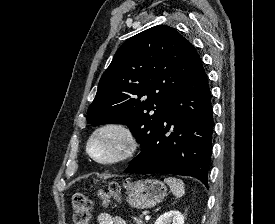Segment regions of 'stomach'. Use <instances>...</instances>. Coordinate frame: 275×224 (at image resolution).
Here are the masks:
<instances>
[{
  "instance_id": "0dacf381",
  "label": "stomach",
  "mask_w": 275,
  "mask_h": 224,
  "mask_svg": "<svg viewBox=\"0 0 275 224\" xmlns=\"http://www.w3.org/2000/svg\"><path fill=\"white\" fill-rule=\"evenodd\" d=\"M126 194L130 206L137 209H148L163 201L167 195V188L159 180L145 179L132 183Z\"/></svg>"
}]
</instances>
